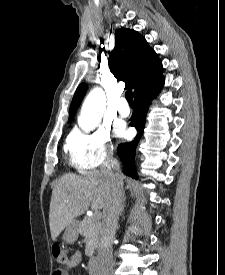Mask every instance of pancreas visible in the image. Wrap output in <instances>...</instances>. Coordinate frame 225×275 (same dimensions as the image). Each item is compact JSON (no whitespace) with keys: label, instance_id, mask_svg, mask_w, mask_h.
<instances>
[{"label":"pancreas","instance_id":"1","mask_svg":"<svg viewBox=\"0 0 225 275\" xmlns=\"http://www.w3.org/2000/svg\"><path fill=\"white\" fill-rule=\"evenodd\" d=\"M100 226V222L94 217L86 218L79 224L78 232L85 237V254L87 256H92L97 248Z\"/></svg>","mask_w":225,"mask_h":275}]
</instances>
